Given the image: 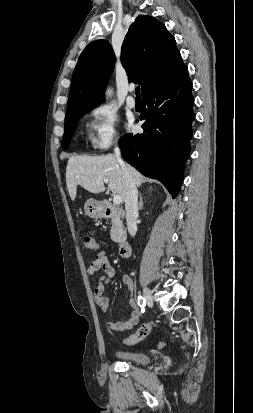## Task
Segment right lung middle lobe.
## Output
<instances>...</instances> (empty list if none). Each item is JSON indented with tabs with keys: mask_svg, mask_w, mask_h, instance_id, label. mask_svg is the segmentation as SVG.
Here are the masks:
<instances>
[{
	"mask_svg": "<svg viewBox=\"0 0 253 413\" xmlns=\"http://www.w3.org/2000/svg\"><path fill=\"white\" fill-rule=\"evenodd\" d=\"M89 110L84 111L80 114H77L67 120H65V130H64V137L62 139L61 146L63 149H67L72 138V135L76 129V122Z\"/></svg>",
	"mask_w": 253,
	"mask_h": 413,
	"instance_id": "right-lung-middle-lobe-1",
	"label": "right lung middle lobe"
}]
</instances>
